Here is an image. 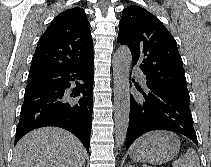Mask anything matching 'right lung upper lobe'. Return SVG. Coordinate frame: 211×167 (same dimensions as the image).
Returning a JSON list of instances; mask_svg holds the SVG:
<instances>
[{
	"label": "right lung upper lobe",
	"mask_w": 211,
	"mask_h": 167,
	"mask_svg": "<svg viewBox=\"0 0 211 167\" xmlns=\"http://www.w3.org/2000/svg\"><path fill=\"white\" fill-rule=\"evenodd\" d=\"M93 58L90 23L80 7L56 16L38 42L28 79L82 65Z\"/></svg>",
	"instance_id": "cb5924a9"
}]
</instances>
